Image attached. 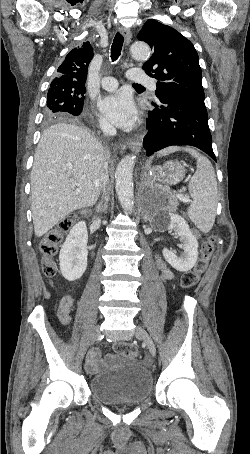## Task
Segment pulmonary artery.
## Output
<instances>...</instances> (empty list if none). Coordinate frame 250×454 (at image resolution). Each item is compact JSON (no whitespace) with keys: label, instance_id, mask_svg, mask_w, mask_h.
Masks as SVG:
<instances>
[{"label":"pulmonary artery","instance_id":"e3ab8cb5","mask_svg":"<svg viewBox=\"0 0 250 454\" xmlns=\"http://www.w3.org/2000/svg\"><path fill=\"white\" fill-rule=\"evenodd\" d=\"M127 78L129 80L148 85L152 91H156V83L155 80L149 77L145 72L137 70V69H131L127 73ZM101 86L103 89L107 91H114L118 88L119 82L116 78L114 77H104L101 81Z\"/></svg>","mask_w":250,"mask_h":454}]
</instances>
